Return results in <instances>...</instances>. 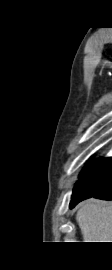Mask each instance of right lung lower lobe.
I'll use <instances>...</instances> for the list:
<instances>
[{"label":"right lung lower lobe","mask_w":112,"mask_h":270,"mask_svg":"<svg viewBox=\"0 0 112 270\" xmlns=\"http://www.w3.org/2000/svg\"><path fill=\"white\" fill-rule=\"evenodd\" d=\"M82 185L84 193L75 200H71L70 208L91 197L112 200V157L104 159L95 171L85 176L82 179Z\"/></svg>","instance_id":"obj_1"}]
</instances>
